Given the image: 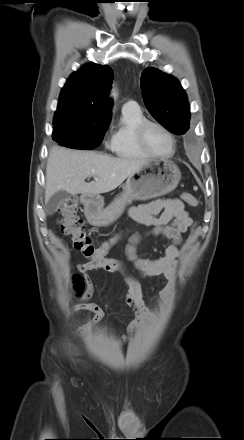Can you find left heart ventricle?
<instances>
[{
    "instance_id": "1",
    "label": "left heart ventricle",
    "mask_w": 244,
    "mask_h": 440,
    "mask_svg": "<svg viewBox=\"0 0 244 440\" xmlns=\"http://www.w3.org/2000/svg\"><path fill=\"white\" fill-rule=\"evenodd\" d=\"M148 149L155 154H168L172 150L170 138L158 127L150 126L145 132Z\"/></svg>"
}]
</instances>
